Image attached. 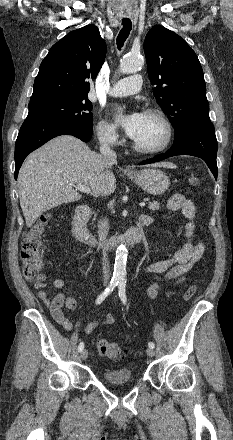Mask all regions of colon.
I'll list each match as a JSON object with an SVG mask.
<instances>
[{
  "mask_svg": "<svg viewBox=\"0 0 233 440\" xmlns=\"http://www.w3.org/2000/svg\"><path fill=\"white\" fill-rule=\"evenodd\" d=\"M188 182L191 186H198L200 180L197 175L192 174ZM50 220L51 218L47 214L40 216L37 222L24 233L22 239L21 260L24 276L30 281L40 282L41 284L45 282L43 274V254L45 246L41 240V236L48 227ZM196 290L197 287L195 284L190 285L185 290L183 299L185 301L190 300L195 295ZM96 345L102 357L120 359L127 356V353L115 342L99 339Z\"/></svg>",
  "mask_w": 233,
  "mask_h": 440,
  "instance_id": "5ec220e1",
  "label": "colon"
}]
</instances>
